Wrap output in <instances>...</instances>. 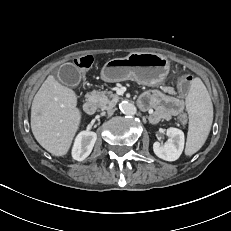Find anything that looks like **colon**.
<instances>
[{
  "instance_id": "obj_1",
  "label": "colon",
  "mask_w": 231,
  "mask_h": 231,
  "mask_svg": "<svg viewBox=\"0 0 231 231\" xmlns=\"http://www.w3.org/2000/svg\"><path fill=\"white\" fill-rule=\"evenodd\" d=\"M93 61L94 59L91 55H85L74 60L76 67L82 69L79 75V78L81 80H85L87 78L86 75L87 71L85 69H89L93 64ZM192 81H193L192 75L190 74L183 75L178 84L179 92L181 94H187L191 88ZM179 120L181 123H185L187 121L186 115L185 114L181 115L179 117Z\"/></svg>"
}]
</instances>
